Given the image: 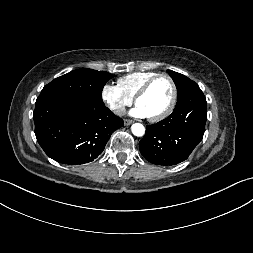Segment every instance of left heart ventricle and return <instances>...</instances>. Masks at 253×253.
Here are the masks:
<instances>
[{
  "instance_id": "b2bd125f",
  "label": "left heart ventricle",
  "mask_w": 253,
  "mask_h": 253,
  "mask_svg": "<svg viewBox=\"0 0 253 253\" xmlns=\"http://www.w3.org/2000/svg\"><path fill=\"white\" fill-rule=\"evenodd\" d=\"M172 96V89L166 78L155 81L147 93L137 101L147 117L157 116L169 105Z\"/></svg>"
}]
</instances>
